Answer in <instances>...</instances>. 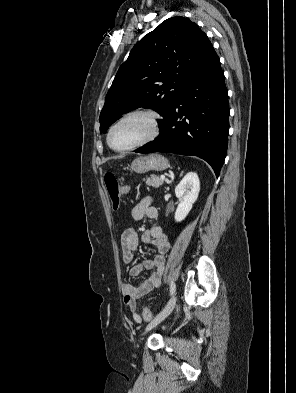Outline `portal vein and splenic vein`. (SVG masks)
<instances>
[{"label": "portal vein and splenic vein", "instance_id": "portal-vein-and-splenic-vein-1", "mask_svg": "<svg viewBox=\"0 0 296 393\" xmlns=\"http://www.w3.org/2000/svg\"><path fill=\"white\" fill-rule=\"evenodd\" d=\"M160 178H161L162 180H164V179H165V175H161Z\"/></svg>", "mask_w": 296, "mask_h": 393}]
</instances>
